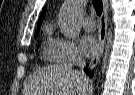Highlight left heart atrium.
<instances>
[{
  "instance_id": "1",
  "label": "left heart atrium",
  "mask_w": 135,
  "mask_h": 95,
  "mask_svg": "<svg viewBox=\"0 0 135 95\" xmlns=\"http://www.w3.org/2000/svg\"><path fill=\"white\" fill-rule=\"evenodd\" d=\"M80 47L85 56L90 57L97 53L99 41L93 35H84L80 40Z\"/></svg>"
}]
</instances>
